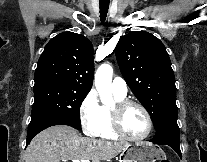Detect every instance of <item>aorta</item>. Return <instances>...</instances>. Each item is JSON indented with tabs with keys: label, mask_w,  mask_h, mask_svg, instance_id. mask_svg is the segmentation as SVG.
Segmentation results:
<instances>
[{
	"label": "aorta",
	"mask_w": 207,
	"mask_h": 162,
	"mask_svg": "<svg viewBox=\"0 0 207 162\" xmlns=\"http://www.w3.org/2000/svg\"><path fill=\"white\" fill-rule=\"evenodd\" d=\"M113 68L109 63L102 64L95 74V86L104 105H111L113 98L111 94Z\"/></svg>",
	"instance_id": "1"
}]
</instances>
